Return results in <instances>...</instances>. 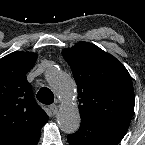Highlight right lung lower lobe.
I'll return each mask as SVG.
<instances>
[{"label": "right lung lower lobe", "instance_id": "1", "mask_svg": "<svg viewBox=\"0 0 145 145\" xmlns=\"http://www.w3.org/2000/svg\"><path fill=\"white\" fill-rule=\"evenodd\" d=\"M39 138H40V132L32 137L27 138L19 145H37Z\"/></svg>", "mask_w": 145, "mask_h": 145}]
</instances>
